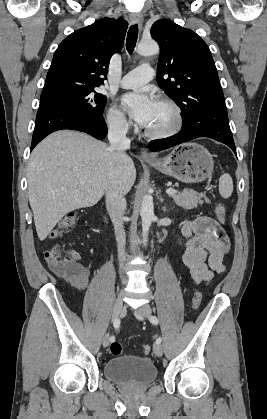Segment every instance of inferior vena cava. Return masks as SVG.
<instances>
[{"instance_id":"1","label":"inferior vena cava","mask_w":267,"mask_h":419,"mask_svg":"<svg viewBox=\"0 0 267 419\" xmlns=\"http://www.w3.org/2000/svg\"><path fill=\"white\" fill-rule=\"evenodd\" d=\"M127 126L122 120L112 122L109 126L108 140L111 144L110 151L114 158L120 157L125 150L130 148V140L126 137ZM125 186L118 178H111L105 189L106 208L115 229L118 247L120 271L123 269L125 257L126 235L123 227V214L126 209ZM125 278L123 283H125Z\"/></svg>"}]
</instances>
